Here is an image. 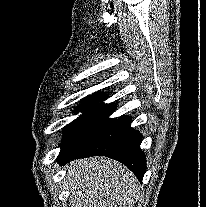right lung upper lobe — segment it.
<instances>
[{
  "label": "right lung upper lobe",
  "instance_id": "cb5924a9",
  "mask_svg": "<svg viewBox=\"0 0 206 207\" xmlns=\"http://www.w3.org/2000/svg\"><path fill=\"white\" fill-rule=\"evenodd\" d=\"M106 98H107L106 94H101L99 92H96L95 94L89 95L82 100H104Z\"/></svg>",
  "mask_w": 206,
  "mask_h": 207
}]
</instances>
